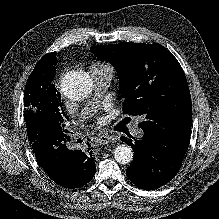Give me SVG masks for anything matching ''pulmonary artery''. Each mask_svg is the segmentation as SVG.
<instances>
[{
  "label": "pulmonary artery",
  "mask_w": 219,
  "mask_h": 219,
  "mask_svg": "<svg viewBox=\"0 0 219 219\" xmlns=\"http://www.w3.org/2000/svg\"><path fill=\"white\" fill-rule=\"evenodd\" d=\"M90 77L93 81L94 87L98 91L106 89L112 79V70L110 68H101L90 71ZM133 133L137 138H141L143 131L135 125L133 127Z\"/></svg>",
  "instance_id": "pulmonary-artery-1"
}]
</instances>
